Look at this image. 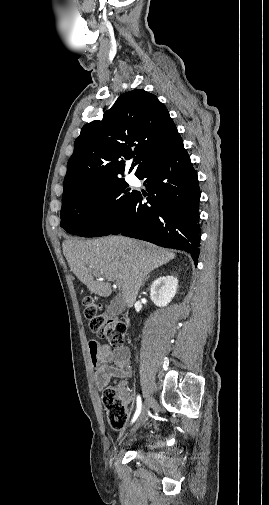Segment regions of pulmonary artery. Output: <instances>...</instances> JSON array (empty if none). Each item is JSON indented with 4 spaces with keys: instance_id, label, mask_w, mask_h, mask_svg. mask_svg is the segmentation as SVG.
I'll list each match as a JSON object with an SVG mask.
<instances>
[{
    "instance_id": "obj_1",
    "label": "pulmonary artery",
    "mask_w": 269,
    "mask_h": 505,
    "mask_svg": "<svg viewBox=\"0 0 269 505\" xmlns=\"http://www.w3.org/2000/svg\"><path fill=\"white\" fill-rule=\"evenodd\" d=\"M130 181L131 182H134L135 181V178L133 176H130Z\"/></svg>"
}]
</instances>
